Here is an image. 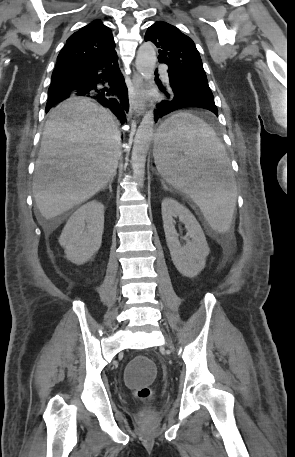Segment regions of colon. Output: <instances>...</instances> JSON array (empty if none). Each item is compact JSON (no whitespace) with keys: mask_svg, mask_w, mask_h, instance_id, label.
Returning <instances> with one entry per match:
<instances>
[{"mask_svg":"<svg viewBox=\"0 0 295 457\" xmlns=\"http://www.w3.org/2000/svg\"><path fill=\"white\" fill-rule=\"evenodd\" d=\"M124 373L126 383H129V390H134L139 400L149 401L152 398L153 380L158 376L152 357H134L133 363H129Z\"/></svg>","mask_w":295,"mask_h":457,"instance_id":"5ec220e1","label":"colon"}]
</instances>
